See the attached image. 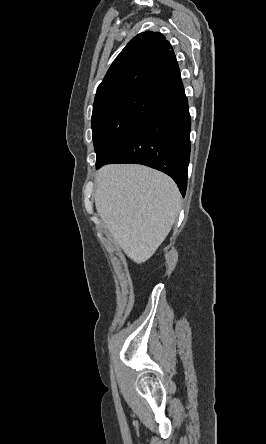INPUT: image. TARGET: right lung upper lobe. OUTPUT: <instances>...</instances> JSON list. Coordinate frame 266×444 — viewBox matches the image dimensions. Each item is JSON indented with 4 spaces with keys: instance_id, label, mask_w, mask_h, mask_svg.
Returning <instances> with one entry per match:
<instances>
[{
    "instance_id": "obj_1",
    "label": "right lung upper lobe",
    "mask_w": 266,
    "mask_h": 444,
    "mask_svg": "<svg viewBox=\"0 0 266 444\" xmlns=\"http://www.w3.org/2000/svg\"><path fill=\"white\" fill-rule=\"evenodd\" d=\"M170 43L159 32L135 36L114 60L97 88L94 106L119 96L144 92L169 101L184 88Z\"/></svg>"
}]
</instances>
